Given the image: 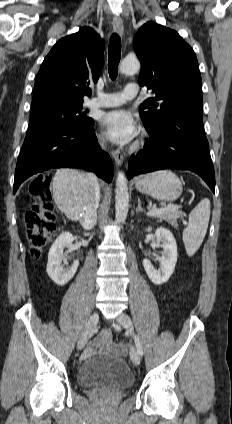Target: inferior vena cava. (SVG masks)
I'll return each instance as SVG.
<instances>
[{
	"instance_id": "602c4592",
	"label": "inferior vena cava",
	"mask_w": 232,
	"mask_h": 424,
	"mask_svg": "<svg viewBox=\"0 0 232 424\" xmlns=\"http://www.w3.org/2000/svg\"><path fill=\"white\" fill-rule=\"evenodd\" d=\"M92 182V188L90 189L87 203L83 208L80 215V224L84 229H92L97 222V208L99 205V189L98 180L94 175L89 174Z\"/></svg>"
}]
</instances>
